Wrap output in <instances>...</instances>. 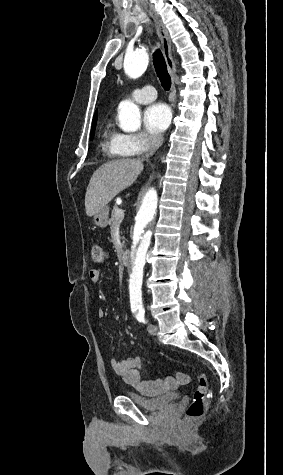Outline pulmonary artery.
<instances>
[{
  "label": "pulmonary artery",
  "mask_w": 283,
  "mask_h": 475,
  "mask_svg": "<svg viewBox=\"0 0 283 475\" xmlns=\"http://www.w3.org/2000/svg\"><path fill=\"white\" fill-rule=\"evenodd\" d=\"M133 101L138 103H148L156 98L157 89L152 86L139 87L129 90Z\"/></svg>",
  "instance_id": "obj_1"
}]
</instances>
